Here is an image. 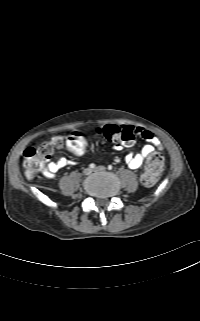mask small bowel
I'll list each match as a JSON object with an SVG mask.
<instances>
[{
	"label": "small bowel",
	"mask_w": 200,
	"mask_h": 321,
	"mask_svg": "<svg viewBox=\"0 0 200 321\" xmlns=\"http://www.w3.org/2000/svg\"><path fill=\"white\" fill-rule=\"evenodd\" d=\"M136 130L138 132V135L143 138L147 142V144L144 145L138 153H129L126 156L125 161L128 167L134 170L140 168L144 161L155 151L156 148H162L160 140L150 131L142 128H136ZM50 144L53 146V148H61L63 146V137H52ZM116 149H120V146H117ZM69 164L70 161L67 158H59L56 161H50L44 168L43 175L47 178H53L58 171L68 166Z\"/></svg>",
	"instance_id": "c3829d8e"
}]
</instances>
